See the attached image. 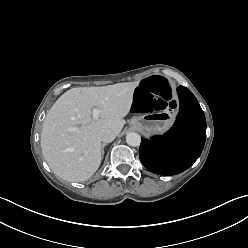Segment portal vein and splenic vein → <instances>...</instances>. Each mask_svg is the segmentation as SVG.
<instances>
[{"mask_svg": "<svg viewBox=\"0 0 248 248\" xmlns=\"http://www.w3.org/2000/svg\"><path fill=\"white\" fill-rule=\"evenodd\" d=\"M100 113H101V110L94 108V109H93L92 118H93L94 120H97V119L99 118ZM68 131H69V132H75V131H77V128H75V127H70V128L68 129Z\"/></svg>", "mask_w": 248, "mask_h": 248, "instance_id": "portal-vein-and-splenic-vein-1", "label": "portal vein and splenic vein"}]
</instances>
